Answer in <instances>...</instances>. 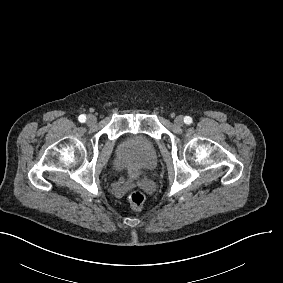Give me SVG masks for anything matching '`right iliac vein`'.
I'll return each mask as SVG.
<instances>
[{"mask_svg": "<svg viewBox=\"0 0 283 283\" xmlns=\"http://www.w3.org/2000/svg\"><path fill=\"white\" fill-rule=\"evenodd\" d=\"M87 123H88L89 125H92V124L96 123V118H95V116H94V115H88V117H87Z\"/></svg>", "mask_w": 283, "mask_h": 283, "instance_id": "63e3f726", "label": "right iliac vein"}]
</instances>
